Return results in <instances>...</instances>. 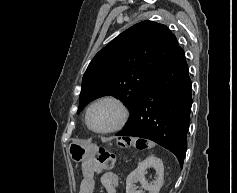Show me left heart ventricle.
I'll return each mask as SVG.
<instances>
[{
	"label": "left heart ventricle",
	"instance_id": "1",
	"mask_svg": "<svg viewBox=\"0 0 237 193\" xmlns=\"http://www.w3.org/2000/svg\"><path fill=\"white\" fill-rule=\"evenodd\" d=\"M119 118L118 108L109 102L96 105L90 113L91 125L99 130L112 127Z\"/></svg>",
	"mask_w": 237,
	"mask_h": 193
}]
</instances>
